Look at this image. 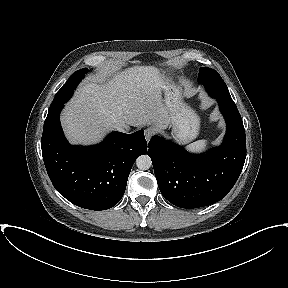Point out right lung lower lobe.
Listing matches in <instances>:
<instances>
[{
  "label": "right lung lower lobe",
  "instance_id": "1",
  "mask_svg": "<svg viewBox=\"0 0 288 288\" xmlns=\"http://www.w3.org/2000/svg\"><path fill=\"white\" fill-rule=\"evenodd\" d=\"M62 106L48 111L41 148L55 189L71 203L90 210H106L122 198L135 160L147 153L144 130L113 132L99 145L69 144L62 132Z\"/></svg>",
  "mask_w": 288,
  "mask_h": 288
}]
</instances>
